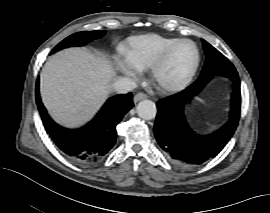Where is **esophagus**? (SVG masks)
<instances>
[{
    "mask_svg": "<svg viewBox=\"0 0 270 213\" xmlns=\"http://www.w3.org/2000/svg\"><path fill=\"white\" fill-rule=\"evenodd\" d=\"M147 97H148V96H147L145 93L139 92V93H136V94L134 95L133 100H134L135 103H137L138 101L143 100V99H145V98H147Z\"/></svg>",
    "mask_w": 270,
    "mask_h": 213,
    "instance_id": "34e87169",
    "label": "esophagus"
}]
</instances>
